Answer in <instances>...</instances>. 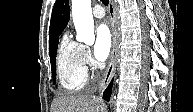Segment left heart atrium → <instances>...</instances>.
<instances>
[{"instance_id":"left-heart-atrium-1","label":"left heart atrium","mask_w":193,"mask_h":112,"mask_svg":"<svg viewBox=\"0 0 193 112\" xmlns=\"http://www.w3.org/2000/svg\"><path fill=\"white\" fill-rule=\"evenodd\" d=\"M112 45V38L109 28L105 24H101L96 28L95 44L93 54L97 61L107 59Z\"/></svg>"}]
</instances>
